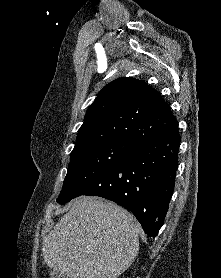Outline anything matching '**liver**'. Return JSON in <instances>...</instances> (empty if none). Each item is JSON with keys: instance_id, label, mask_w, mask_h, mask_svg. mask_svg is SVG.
<instances>
[{"instance_id": "1", "label": "liver", "mask_w": 221, "mask_h": 278, "mask_svg": "<svg viewBox=\"0 0 221 278\" xmlns=\"http://www.w3.org/2000/svg\"><path fill=\"white\" fill-rule=\"evenodd\" d=\"M139 227L133 215L98 197H79L43 239L44 260L69 278H117L134 262Z\"/></svg>"}]
</instances>
